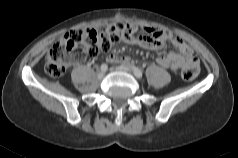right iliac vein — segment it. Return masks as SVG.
Segmentation results:
<instances>
[{
	"label": "right iliac vein",
	"mask_w": 238,
	"mask_h": 158,
	"mask_svg": "<svg viewBox=\"0 0 238 158\" xmlns=\"http://www.w3.org/2000/svg\"><path fill=\"white\" fill-rule=\"evenodd\" d=\"M104 76H105V73L103 71H101V72L98 73L97 78L99 80H102L104 78Z\"/></svg>",
	"instance_id": "obj_1"
}]
</instances>
